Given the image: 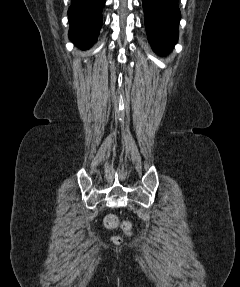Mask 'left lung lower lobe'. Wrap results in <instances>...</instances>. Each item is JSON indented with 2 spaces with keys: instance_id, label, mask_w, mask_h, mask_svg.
<instances>
[{
  "instance_id": "0a47b994",
  "label": "left lung lower lobe",
  "mask_w": 240,
  "mask_h": 287,
  "mask_svg": "<svg viewBox=\"0 0 240 287\" xmlns=\"http://www.w3.org/2000/svg\"><path fill=\"white\" fill-rule=\"evenodd\" d=\"M149 42L160 55L172 50L178 39V0H142Z\"/></svg>"
}]
</instances>
